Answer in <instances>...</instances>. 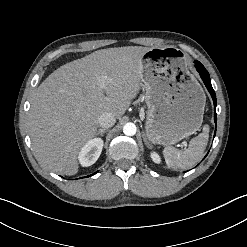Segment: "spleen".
Returning a JSON list of instances; mask_svg holds the SVG:
<instances>
[{"label": "spleen", "instance_id": "1", "mask_svg": "<svg viewBox=\"0 0 247 247\" xmlns=\"http://www.w3.org/2000/svg\"><path fill=\"white\" fill-rule=\"evenodd\" d=\"M209 138V126L203 127V132L189 142L187 149H177L172 146L164 148L163 155L168 167L186 169L196 164L203 156Z\"/></svg>", "mask_w": 247, "mask_h": 247}]
</instances>
